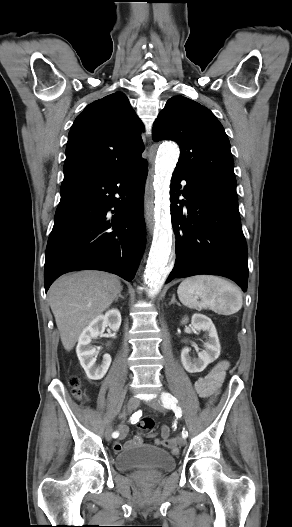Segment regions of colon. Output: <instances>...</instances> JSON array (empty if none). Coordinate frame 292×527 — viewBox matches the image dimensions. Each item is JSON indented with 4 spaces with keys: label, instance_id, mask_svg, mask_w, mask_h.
I'll return each mask as SVG.
<instances>
[{
    "label": "colon",
    "instance_id": "1",
    "mask_svg": "<svg viewBox=\"0 0 292 527\" xmlns=\"http://www.w3.org/2000/svg\"><path fill=\"white\" fill-rule=\"evenodd\" d=\"M69 385H70V387L72 389L73 395L77 399H81L82 396H83V392H82V389H81V383H80L79 379L77 377H75V376L71 377L69 379ZM153 427H154V420L151 417H144L138 423V428L141 431H151L153 429Z\"/></svg>",
    "mask_w": 292,
    "mask_h": 527
}]
</instances>
